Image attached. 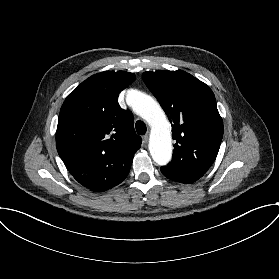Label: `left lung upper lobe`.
Listing matches in <instances>:
<instances>
[{
    "label": "left lung upper lobe",
    "instance_id": "5c2ea615",
    "mask_svg": "<svg viewBox=\"0 0 279 279\" xmlns=\"http://www.w3.org/2000/svg\"><path fill=\"white\" fill-rule=\"evenodd\" d=\"M142 78L173 123L174 155L164 167L199 179L215 161L223 137L213 92L181 70L144 72Z\"/></svg>",
    "mask_w": 279,
    "mask_h": 279
}]
</instances>
